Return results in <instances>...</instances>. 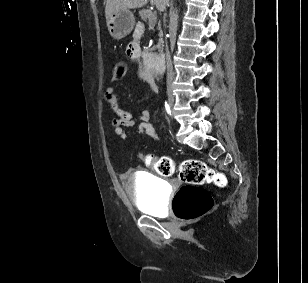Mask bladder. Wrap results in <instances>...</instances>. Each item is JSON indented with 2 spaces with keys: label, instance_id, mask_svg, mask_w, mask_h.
<instances>
[{
  "label": "bladder",
  "instance_id": "1",
  "mask_svg": "<svg viewBox=\"0 0 308 283\" xmlns=\"http://www.w3.org/2000/svg\"><path fill=\"white\" fill-rule=\"evenodd\" d=\"M126 185L133 203L140 211L155 217L166 215V187L162 180L140 172L131 174Z\"/></svg>",
  "mask_w": 308,
  "mask_h": 283
}]
</instances>
